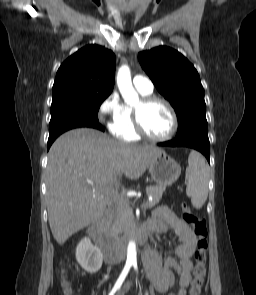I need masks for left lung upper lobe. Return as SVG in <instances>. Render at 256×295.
I'll return each mask as SVG.
<instances>
[{
    "label": "left lung upper lobe",
    "mask_w": 256,
    "mask_h": 295,
    "mask_svg": "<svg viewBox=\"0 0 256 295\" xmlns=\"http://www.w3.org/2000/svg\"><path fill=\"white\" fill-rule=\"evenodd\" d=\"M139 62L178 119L176 138L207 131L204 89L194 66L178 51L159 46L138 54Z\"/></svg>",
    "instance_id": "obj_1"
}]
</instances>
